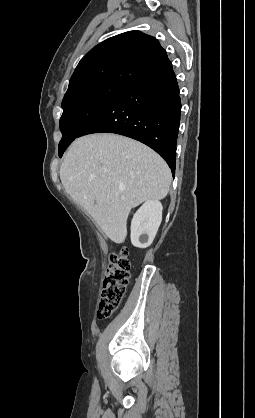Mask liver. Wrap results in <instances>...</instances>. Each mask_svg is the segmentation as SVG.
<instances>
[{"label": "liver", "mask_w": 255, "mask_h": 418, "mask_svg": "<svg viewBox=\"0 0 255 418\" xmlns=\"http://www.w3.org/2000/svg\"><path fill=\"white\" fill-rule=\"evenodd\" d=\"M66 192L115 243L127 236L132 208L162 200L169 192L171 171L152 149L110 133L76 139L60 168Z\"/></svg>", "instance_id": "liver-1"}]
</instances>
